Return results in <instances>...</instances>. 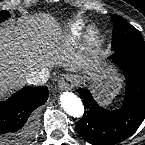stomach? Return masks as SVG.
Listing matches in <instances>:
<instances>
[{"label":"stomach","instance_id":"1","mask_svg":"<svg viewBox=\"0 0 145 145\" xmlns=\"http://www.w3.org/2000/svg\"><path fill=\"white\" fill-rule=\"evenodd\" d=\"M87 61H85V65L87 66H90L93 63L91 60ZM102 77L105 79V81L104 82L100 81L99 94L104 101H108L110 100V97H113L116 94L118 90L117 88L118 84L116 82V79L113 76H111L109 72H104L102 74Z\"/></svg>","mask_w":145,"mask_h":145}]
</instances>
